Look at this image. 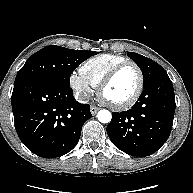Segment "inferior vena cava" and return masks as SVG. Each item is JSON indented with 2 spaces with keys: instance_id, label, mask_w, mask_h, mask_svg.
Segmentation results:
<instances>
[{
  "instance_id": "602c4592",
  "label": "inferior vena cava",
  "mask_w": 193,
  "mask_h": 193,
  "mask_svg": "<svg viewBox=\"0 0 193 193\" xmlns=\"http://www.w3.org/2000/svg\"><path fill=\"white\" fill-rule=\"evenodd\" d=\"M90 95L86 92H78L75 94V99L80 103H87L89 101Z\"/></svg>"
}]
</instances>
